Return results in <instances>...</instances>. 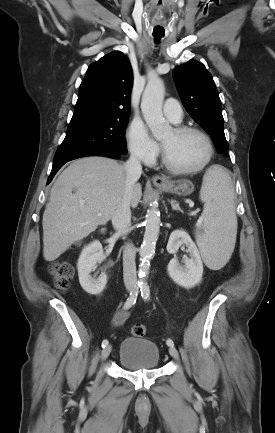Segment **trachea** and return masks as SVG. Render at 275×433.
<instances>
[{
  "label": "trachea",
  "instance_id": "obj_1",
  "mask_svg": "<svg viewBox=\"0 0 275 433\" xmlns=\"http://www.w3.org/2000/svg\"><path fill=\"white\" fill-rule=\"evenodd\" d=\"M163 36H154L156 43L162 38Z\"/></svg>",
  "mask_w": 275,
  "mask_h": 433
}]
</instances>
